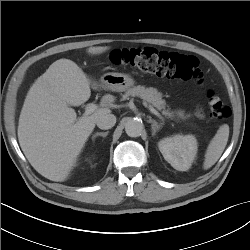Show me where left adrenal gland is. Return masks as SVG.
I'll return each instance as SVG.
<instances>
[{
	"instance_id": "left-adrenal-gland-1",
	"label": "left adrenal gland",
	"mask_w": 250,
	"mask_h": 250,
	"mask_svg": "<svg viewBox=\"0 0 250 250\" xmlns=\"http://www.w3.org/2000/svg\"><path fill=\"white\" fill-rule=\"evenodd\" d=\"M148 122L151 123V126H152V136H154L156 132L159 131V129L163 125V123H158L156 120L151 119V118L149 119Z\"/></svg>"
}]
</instances>
